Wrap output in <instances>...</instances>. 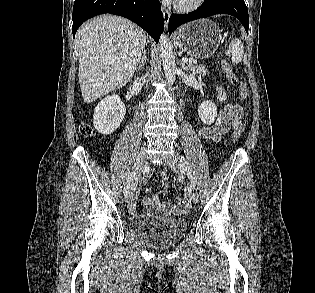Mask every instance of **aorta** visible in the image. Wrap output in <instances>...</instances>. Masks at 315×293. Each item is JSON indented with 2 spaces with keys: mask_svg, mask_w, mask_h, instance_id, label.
<instances>
[{
  "mask_svg": "<svg viewBox=\"0 0 315 293\" xmlns=\"http://www.w3.org/2000/svg\"><path fill=\"white\" fill-rule=\"evenodd\" d=\"M159 46L166 80L168 84H173L176 73L175 56L173 47L165 33L160 37Z\"/></svg>",
  "mask_w": 315,
  "mask_h": 293,
  "instance_id": "aorta-1",
  "label": "aorta"
}]
</instances>
